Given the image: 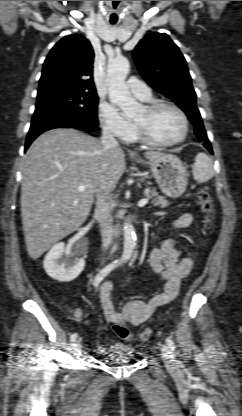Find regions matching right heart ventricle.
<instances>
[{
	"label": "right heart ventricle",
	"mask_w": 242,
	"mask_h": 416,
	"mask_svg": "<svg viewBox=\"0 0 242 416\" xmlns=\"http://www.w3.org/2000/svg\"><path fill=\"white\" fill-rule=\"evenodd\" d=\"M150 99V97H147V98H145V99H143V100H149ZM130 139H136V136H135V134L133 133L132 134V136L130 137Z\"/></svg>",
	"instance_id": "obj_1"
}]
</instances>
